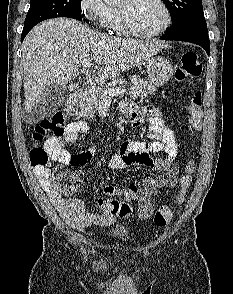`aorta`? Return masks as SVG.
Masks as SVG:
<instances>
[{"instance_id":"1","label":"aorta","mask_w":233,"mask_h":294,"mask_svg":"<svg viewBox=\"0 0 233 294\" xmlns=\"http://www.w3.org/2000/svg\"><path fill=\"white\" fill-rule=\"evenodd\" d=\"M120 0H104V2L108 5L117 4Z\"/></svg>"}]
</instances>
